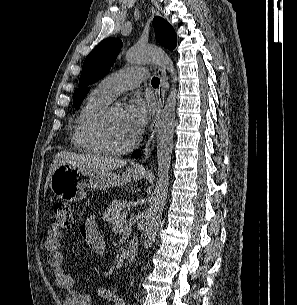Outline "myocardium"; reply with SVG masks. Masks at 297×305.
Masks as SVG:
<instances>
[{
	"label": "myocardium",
	"mask_w": 297,
	"mask_h": 305,
	"mask_svg": "<svg viewBox=\"0 0 297 305\" xmlns=\"http://www.w3.org/2000/svg\"><path fill=\"white\" fill-rule=\"evenodd\" d=\"M113 107H105L99 111L88 123L87 131L90 138L101 148L103 152L111 155L124 154L131 150L136 144V139H132L124 146L116 147L109 143L105 133L106 122Z\"/></svg>",
	"instance_id": "1"
}]
</instances>
